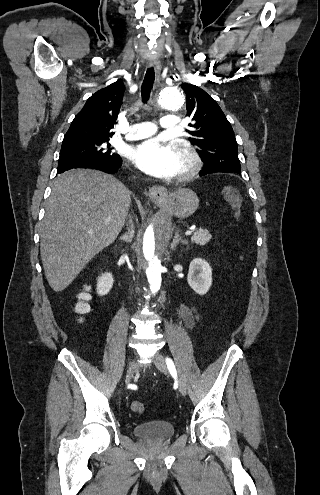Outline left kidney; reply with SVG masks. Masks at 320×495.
I'll return each mask as SVG.
<instances>
[{"mask_svg": "<svg viewBox=\"0 0 320 495\" xmlns=\"http://www.w3.org/2000/svg\"><path fill=\"white\" fill-rule=\"evenodd\" d=\"M187 281L197 294H206L212 285V269L209 263L201 258L192 260Z\"/></svg>", "mask_w": 320, "mask_h": 495, "instance_id": "1", "label": "left kidney"}]
</instances>
